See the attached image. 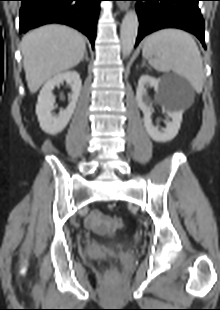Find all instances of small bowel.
Here are the masks:
<instances>
[{
  "mask_svg": "<svg viewBox=\"0 0 220 310\" xmlns=\"http://www.w3.org/2000/svg\"><path fill=\"white\" fill-rule=\"evenodd\" d=\"M109 217L102 214L99 210H92L86 217L84 223L86 228L95 232H101L106 226Z\"/></svg>",
  "mask_w": 220,
  "mask_h": 310,
  "instance_id": "1",
  "label": "small bowel"
}]
</instances>
